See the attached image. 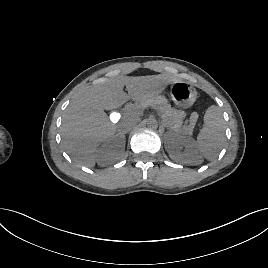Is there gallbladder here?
Wrapping results in <instances>:
<instances>
[{
	"instance_id": "obj_1",
	"label": "gallbladder",
	"mask_w": 268,
	"mask_h": 268,
	"mask_svg": "<svg viewBox=\"0 0 268 268\" xmlns=\"http://www.w3.org/2000/svg\"><path fill=\"white\" fill-rule=\"evenodd\" d=\"M107 120H108V122L111 123V124H117V123H119L120 120H121V115H120V113L117 112V111H111V112H109L108 115H107Z\"/></svg>"
}]
</instances>
